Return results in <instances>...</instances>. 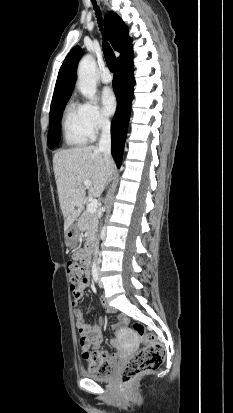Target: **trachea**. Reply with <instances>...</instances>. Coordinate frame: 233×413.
I'll list each match as a JSON object with an SVG mask.
<instances>
[{"instance_id":"trachea-1","label":"trachea","mask_w":233,"mask_h":413,"mask_svg":"<svg viewBox=\"0 0 233 413\" xmlns=\"http://www.w3.org/2000/svg\"><path fill=\"white\" fill-rule=\"evenodd\" d=\"M93 4H94V9L96 12V16H97V20L99 23V26H102V15H101V11L99 9V7L96 5L95 0H92ZM103 52H104V56L106 59V63L108 68L110 69L111 72L115 71V65H116V57L114 52L112 51L111 47L109 46V44L107 43L106 40L103 41Z\"/></svg>"}]
</instances>
